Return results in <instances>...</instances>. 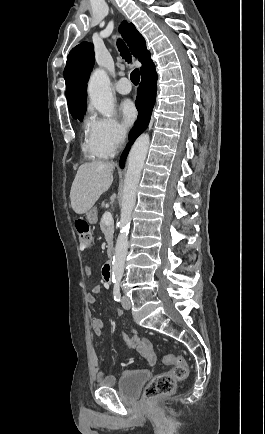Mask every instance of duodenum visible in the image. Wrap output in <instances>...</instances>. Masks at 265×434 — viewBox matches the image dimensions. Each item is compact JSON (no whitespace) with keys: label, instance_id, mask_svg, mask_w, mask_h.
Masks as SVG:
<instances>
[{"label":"duodenum","instance_id":"1","mask_svg":"<svg viewBox=\"0 0 265 434\" xmlns=\"http://www.w3.org/2000/svg\"><path fill=\"white\" fill-rule=\"evenodd\" d=\"M111 269H112V262H107L103 267V279L105 282L110 283L112 276H111Z\"/></svg>","mask_w":265,"mask_h":434}]
</instances>
